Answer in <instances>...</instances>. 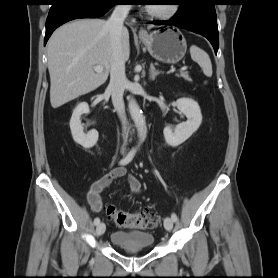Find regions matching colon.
<instances>
[{"label": "colon", "instance_id": "1", "mask_svg": "<svg viewBox=\"0 0 278 278\" xmlns=\"http://www.w3.org/2000/svg\"><path fill=\"white\" fill-rule=\"evenodd\" d=\"M106 213L121 228L145 230L154 228L159 223L158 217L148 212H129L114 205H108Z\"/></svg>", "mask_w": 278, "mask_h": 278}]
</instances>
